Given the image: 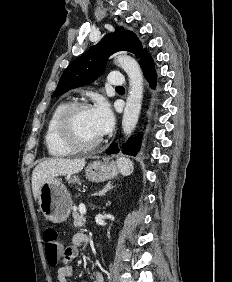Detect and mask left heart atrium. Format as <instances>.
<instances>
[{"instance_id": "left-heart-atrium-1", "label": "left heart atrium", "mask_w": 232, "mask_h": 282, "mask_svg": "<svg viewBox=\"0 0 232 282\" xmlns=\"http://www.w3.org/2000/svg\"><path fill=\"white\" fill-rule=\"evenodd\" d=\"M93 121L100 135L108 133L114 124V116L108 103L101 99L91 109Z\"/></svg>"}]
</instances>
